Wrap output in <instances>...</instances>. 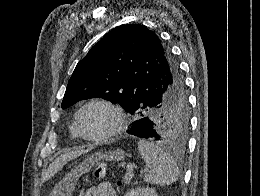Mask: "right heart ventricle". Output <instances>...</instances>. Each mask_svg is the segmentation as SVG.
Segmentation results:
<instances>
[{
  "mask_svg": "<svg viewBox=\"0 0 260 196\" xmlns=\"http://www.w3.org/2000/svg\"><path fill=\"white\" fill-rule=\"evenodd\" d=\"M71 134H72V137H73L74 139H78V138H79V136H78L77 132L75 131L73 125H72V127H71Z\"/></svg>",
  "mask_w": 260,
  "mask_h": 196,
  "instance_id": "e07e8e85",
  "label": "right heart ventricle"
}]
</instances>
